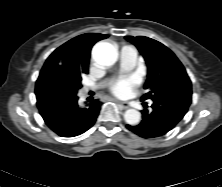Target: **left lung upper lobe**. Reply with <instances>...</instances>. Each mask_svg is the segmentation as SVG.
<instances>
[{
	"mask_svg": "<svg viewBox=\"0 0 222 187\" xmlns=\"http://www.w3.org/2000/svg\"><path fill=\"white\" fill-rule=\"evenodd\" d=\"M125 38L138 48L147 65V81L144 86L147 92L141 101L153 100L163 93L192 88L184 66L162 43L145 36Z\"/></svg>",
	"mask_w": 222,
	"mask_h": 187,
	"instance_id": "1",
	"label": "left lung upper lobe"
}]
</instances>
